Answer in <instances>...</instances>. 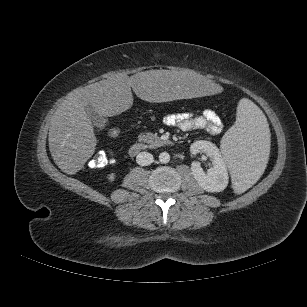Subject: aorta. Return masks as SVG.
<instances>
[{"mask_svg":"<svg viewBox=\"0 0 307 307\" xmlns=\"http://www.w3.org/2000/svg\"><path fill=\"white\" fill-rule=\"evenodd\" d=\"M159 161L162 163V164H166L170 161V155L169 153L167 152H162L159 154Z\"/></svg>","mask_w":307,"mask_h":307,"instance_id":"762f6f07","label":"aorta"}]
</instances>
